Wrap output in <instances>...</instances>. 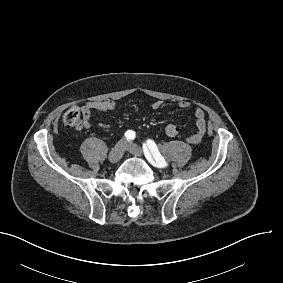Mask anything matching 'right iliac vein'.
<instances>
[{"label": "right iliac vein", "mask_w": 283, "mask_h": 283, "mask_svg": "<svg viewBox=\"0 0 283 283\" xmlns=\"http://www.w3.org/2000/svg\"><path fill=\"white\" fill-rule=\"evenodd\" d=\"M125 142H118L114 148L110 151L108 155V159L112 164L117 163L123 156L124 149H125Z\"/></svg>", "instance_id": "1"}]
</instances>
